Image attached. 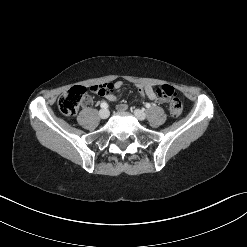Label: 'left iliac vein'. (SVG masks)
Segmentation results:
<instances>
[{
	"instance_id": "1",
	"label": "left iliac vein",
	"mask_w": 247,
	"mask_h": 247,
	"mask_svg": "<svg viewBox=\"0 0 247 247\" xmlns=\"http://www.w3.org/2000/svg\"><path fill=\"white\" fill-rule=\"evenodd\" d=\"M134 115L140 121H142V120H144L146 118V113L144 111L140 110V109H136L134 111Z\"/></svg>"
}]
</instances>
